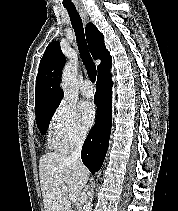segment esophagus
I'll return each mask as SVG.
<instances>
[{
	"mask_svg": "<svg viewBox=\"0 0 178 211\" xmlns=\"http://www.w3.org/2000/svg\"><path fill=\"white\" fill-rule=\"evenodd\" d=\"M78 10H79V13L82 16V18L86 21L87 20V12H86V10L83 9V8H79Z\"/></svg>",
	"mask_w": 178,
	"mask_h": 211,
	"instance_id": "1",
	"label": "esophagus"
}]
</instances>
